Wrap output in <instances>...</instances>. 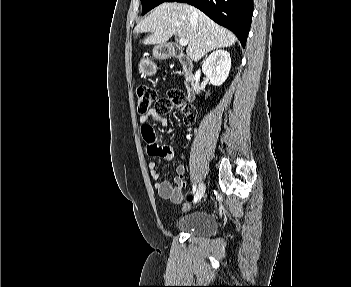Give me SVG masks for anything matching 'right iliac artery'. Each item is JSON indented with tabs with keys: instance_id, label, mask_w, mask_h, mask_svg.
<instances>
[{
	"instance_id": "obj_1",
	"label": "right iliac artery",
	"mask_w": 351,
	"mask_h": 287,
	"mask_svg": "<svg viewBox=\"0 0 351 287\" xmlns=\"http://www.w3.org/2000/svg\"><path fill=\"white\" fill-rule=\"evenodd\" d=\"M192 191H193V193H195V191H196V184L193 185Z\"/></svg>"
}]
</instances>
